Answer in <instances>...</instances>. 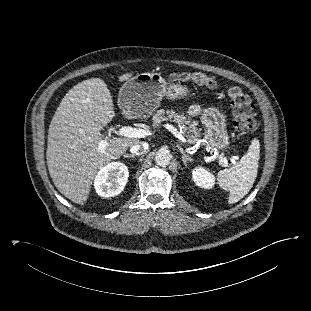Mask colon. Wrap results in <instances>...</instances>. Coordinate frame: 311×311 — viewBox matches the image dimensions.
<instances>
[{"mask_svg": "<svg viewBox=\"0 0 311 311\" xmlns=\"http://www.w3.org/2000/svg\"><path fill=\"white\" fill-rule=\"evenodd\" d=\"M172 80L209 88L216 86V79L202 72L174 74ZM228 97L233 110L234 119L232 124L234 129L239 132H250L256 129V108L249 95L240 87L233 86L228 90Z\"/></svg>", "mask_w": 311, "mask_h": 311, "instance_id": "5ec220e1", "label": "colon"}]
</instances>
